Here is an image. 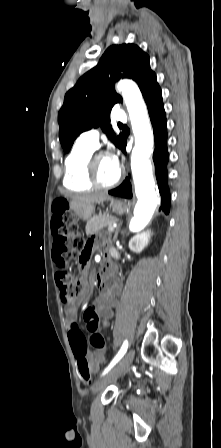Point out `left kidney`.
I'll return each instance as SVG.
<instances>
[{"label":"left kidney","mask_w":221,"mask_h":448,"mask_svg":"<svg viewBox=\"0 0 221 448\" xmlns=\"http://www.w3.org/2000/svg\"><path fill=\"white\" fill-rule=\"evenodd\" d=\"M151 231H146L134 236L129 242V248L136 253H140L149 243Z\"/></svg>","instance_id":"left-kidney-1"}]
</instances>
